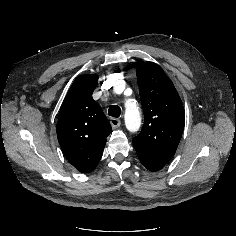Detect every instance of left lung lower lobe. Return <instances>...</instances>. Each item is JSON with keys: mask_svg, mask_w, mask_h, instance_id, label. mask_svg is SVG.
<instances>
[{"mask_svg": "<svg viewBox=\"0 0 236 236\" xmlns=\"http://www.w3.org/2000/svg\"><path fill=\"white\" fill-rule=\"evenodd\" d=\"M141 163L150 171H159L161 170L167 162L149 157L147 155H144L142 153H137Z\"/></svg>", "mask_w": 236, "mask_h": 236, "instance_id": "0a47b994", "label": "left lung lower lobe"}]
</instances>
